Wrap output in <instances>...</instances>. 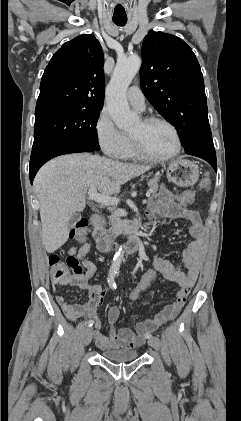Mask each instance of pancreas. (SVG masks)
<instances>
[{
  "mask_svg": "<svg viewBox=\"0 0 241 421\" xmlns=\"http://www.w3.org/2000/svg\"><path fill=\"white\" fill-rule=\"evenodd\" d=\"M158 178H153L148 181L149 192L151 194H155L158 191ZM110 223H111V231L113 234H120L124 231H127L131 227L132 221L130 220H123L121 221L116 216H110Z\"/></svg>",
  "mask_w": 241,
  "mask_h": 421,
  "instance_id": "obj_1",
  "label": "pancreas"
}]
</instances>
